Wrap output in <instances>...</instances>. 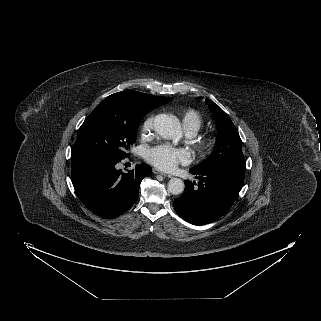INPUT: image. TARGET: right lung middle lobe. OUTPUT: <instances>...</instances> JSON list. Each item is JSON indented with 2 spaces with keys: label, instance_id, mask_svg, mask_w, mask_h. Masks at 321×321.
I'll list each match as a JSON object with an SVG mask.
<instances>
[{
  "label": "right lung middle lobe",
  "instance_id": "dd1d6c3e",
  "mask_svg": "<svg viewBox=\"0 0 321 321\" xmlns=\"http://www.w3.org/2000/svg\"><path fill=\"white\" fill-rule=\"evenodd\" d=\"M151 110L153 108L139 106L125 95L108 96L79 128L71 160L94 157L121 161L128 157L130 145L136 141L138 125Z\"/></svg>",
  "mask_w": 321,
  "mask_h": 321
}]
</instances>
